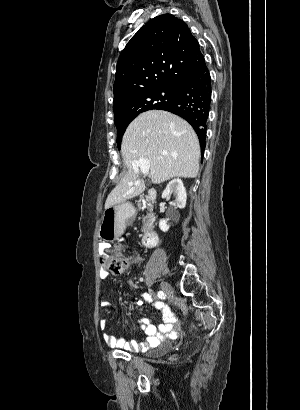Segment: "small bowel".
Wrapping results in <instances>:
<instances>
[{
    "label": "small bowel",
    "mask_w": 300,
    "mask_h": 410,
    "mask_svg": "<svg viewBox=\"0 0 300 410\" xmlns=\"http://www.w3.org/2000/svg\"><path fill=\"white\" fill-rule=\"evenodd\" d=\"M100 277L102 280L108 279L109 275L106 272H101ZM143 298L152 302L149 295L143 294ZM101 307L120 312L121 309L113 303L102 300ZM154 307L161 311L163 316V324L157 329L148 318H142L140 320V328L146 336L145 341H137L134 339L117 338L111 334L106 333L108 322L102 318L99 320V328L103 331V339L107 346L111 348L124 349L126 351H146L149 348L156 347L163 339L168 336L177 335L180 332L181 326L178 323L176 317L171 311L170 307L162 302H155Z\"/></svg>",
    "instance_id": "c3829d8e"
}]
</instances>
